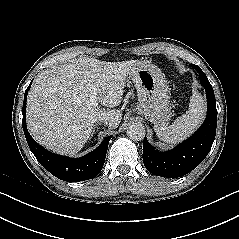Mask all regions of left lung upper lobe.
Returning a JSON list of instances; mask_svg holds the SVG:
<instances>
[{
	"instance_id": "left-lung-upper-lobe-1",
	"label": "left lung upper lobe",
	"mask_w": 239,
	"mask_h": 239,
	"mask_svg": "<svg viewBox=\"0 0 239 239\" xmlns=\"http://www.w3.org/2000/svg\"><path fill=\"white\" fill-rule=\"evenodd\" d=\"M192 67L195 68L200 74V80H208L205 73L201 70L199 66L192 64Z\"/></svg>"
}]
</instances>
